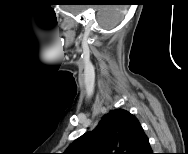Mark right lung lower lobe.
I'll return each instance as SVG.
<instances>
[{
    "label": "right lung lower lobe",
    "mask_w": 188,
    "mask_h": 154,
    "mask_svg": "<svg viewBox=\"0 0 188 154\" xmlns=\"http://www.w3.org/2000/svg\"><path fill=\"white\" fill-rule=\"evenodd\" d=\"M146 154H152V150L150 149L149 151L146 152Z\"/></svg>",
    "instance_id": "obj_1"
}]
</instances>
